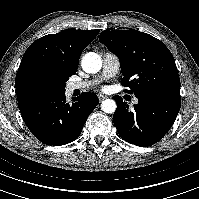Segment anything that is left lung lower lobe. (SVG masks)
Masks as SVG:
<instances>
[{
	"label": "left lung lower lobe",
	"mask_w": 199,
	"mask_h": 199,
	"mask_svg": "<svg viewBox=\"0 0 199 199\" xmlns=\"http://www.w3.org/2000/svg\"><path fill=\"white\" fill-rule=\"evenodd\" d=\"M133 110L120 96H114L117 109L113 122L121 138L137 146L157 143L171 128L181 107V100L149 95L136 96Z\"/></svg>",
	"instance_id": "1"
}]
</instances>
